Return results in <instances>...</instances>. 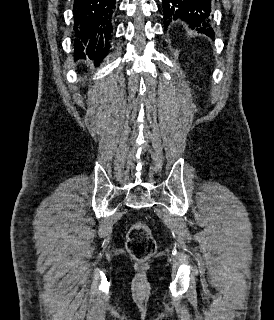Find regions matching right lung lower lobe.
Masks as SVG:
<instances>
[{"label":"right lung lower lobe","instance_id":"right-lung-lower-lobe-1","mask_svg":"<svg viewBox=\"0 0 274 320\" xmlns=\"http://www.w3.org/2000/svg\"><path fill=\"white\" fill-rule=\"evenodd\" d=\"M115 1H74L75 58H85L84 52H86L90 58L99 61L107 55L112 36Z\"/></svg>","mask_w":274,"mask_h":320}]
</instances>
